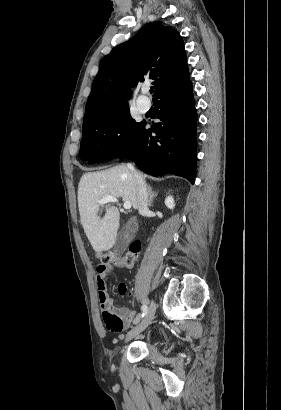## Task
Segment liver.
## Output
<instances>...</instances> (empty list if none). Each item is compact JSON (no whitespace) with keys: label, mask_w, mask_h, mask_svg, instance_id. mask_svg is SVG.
<instances>
[{"label":"liver","mask_w":281,"mask_h":410,"mask_svg":"<svg viewBox=\"0 0 281 410\" xmlns=\"http://www.w3.org/2000/svg\"><path fill=\"white\" fill-rule=\"evenodd\" d=\"M106 196L120 197L138 208L137 187L127 166L83 174L78 185V208L84 232L93 249L100 253L111 249L117 239L120 213L117 207L98 203ZM105 209L101 218L98 214Z\"/></svg>","instance_id":"liver-1"}]
</instances>
